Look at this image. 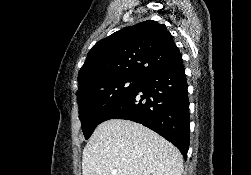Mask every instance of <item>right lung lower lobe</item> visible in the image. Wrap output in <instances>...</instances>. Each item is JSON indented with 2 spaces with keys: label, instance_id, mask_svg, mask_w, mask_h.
Instances as JSON below:
<instances>
[{
  "label": "right lung lower lobe",
  "instance_id": "1",
  "mask_svg": "<svg viewBox=\"0 0 251 175\" xmlns=\"http://www.w3.org/2000/svg\"><path fill=\"white\" fill-rule=\"evenodd\" d=\"M126 119L143 124L174 144L187 157L189 148V101L183 61L153 71L108 110L101 123Z\"/></svg>",
  "mask_w": 251,
  "mask_h": 175
}]
</instances>
